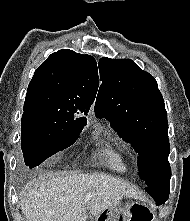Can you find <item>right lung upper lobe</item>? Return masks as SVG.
Masks as SVG:
<instances>
[{"label": "right lung upper lobe", "instance_id": "cb5924a9", "mask_svg": "<svg viewBox=\"0 0 190 221\" xmlns=\"http://www.w3.org/2000/svg\"><path fill=\"white\" fill-rule=\"evenodd\" d=\"M98 83L97 63L92 56L59 50L35 71L28 86L24 113L87 114L96 97Z\"/></svg>", "mask_w": 190, "mask_h": 221}]
</instances>
